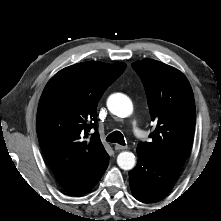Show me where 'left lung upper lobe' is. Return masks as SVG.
Returning <instances> with one entry per match:
<instances>
[{
	"instance_id": "1",
	"label": "left lung upper lobe",
	"mask_w": 221,
	"mask_h": 221,
	"mask_svg": "<svg viewBox=\"0 0 221 221\" xmlns=\"http://www.w3.org/2000/svg\"><path fill=\"white\" fill-rule=\"evenodd\" d=\"M147 95L156 128L151 142H140L137 150L169 166L182 169L191 150L195 128V101L191 86L179 70L156 60L134 62Z\"/></svg>"
}]
</instances>
